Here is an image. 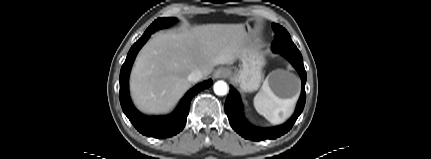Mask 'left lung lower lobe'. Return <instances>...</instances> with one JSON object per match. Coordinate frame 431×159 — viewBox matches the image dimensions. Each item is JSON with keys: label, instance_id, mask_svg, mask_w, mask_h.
<instances>
[{"label": "left lung lower lobe", "instance_id": "obj_1", "mask_svg": "<svg viewBox=\"0 0 431 159\" xmlns=\"http://www.w3.org/2000/svg\"><path fill=\"white\" fill-rule=\"evenodd\" d=\"M282 53L296 68L299 72L301 80H302V92L300 99L298 101L295 113L293 116L283 125L261 129L254 127L251 125L242 115V103L240 101V97L238 92L231 87L229 95L225 102V112L229 119V123L231 127L242 137L245 139L253 140V141H263L266 139H276L285 133H287L295 121L303 111L306 94H305V83H306V71L303 64V58L300 52H278Z\"/></svg>", "mask_w": 431, "mask_h": 159}]
</instances>
